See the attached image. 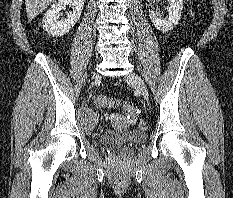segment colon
Wrapping results in <instances>:
<instances>
[{
	"label": "colon",
	"instance_id": "1",
	"mask_svg": "<svg viewBox=\"0 0 233 198\" xmlns=\"http://www.w3.org/2000/svg\"><path fill=\"white\" fill-rule=\"evenodd\" d=\"M97 103L105 108L121 107L123 113L129 117H133L137 114V107L129 101H121L119 99H113L106 95H100L97 97Z\"/></svg>",
	"mask_w": 233,
	"mask_h": 198
}]
</instances>
